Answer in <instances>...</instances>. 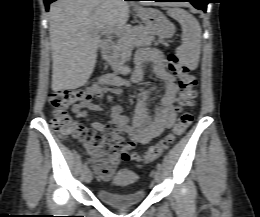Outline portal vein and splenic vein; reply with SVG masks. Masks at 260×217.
<instances>
[{
    "instance_id": "obj_1",
    "label": "portal vein and splenic vein",
    "mask_w": 260,
    "mask_h": 217,
    "mask_svg": "<svg viewBox=\"0 0 260 217\" xmlns=\"http://www.w3.org/2000/svg\"><path fill=\"white\" fill-rule=\"evenodd\" d=\"M104 33L109 34V35H111V34H117V33H118V30H116V29H114V28H110V29L104 30Z\"/></svg>"
}]
</instances>
